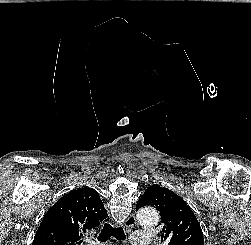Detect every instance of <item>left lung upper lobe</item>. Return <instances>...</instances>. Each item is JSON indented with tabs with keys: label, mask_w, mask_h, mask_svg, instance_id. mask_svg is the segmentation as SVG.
I'll list each match as a JSON object with an SVG mask.
<instances>
[{
	"label": "left lung upper lobe",
	"mask_w": 251,
	"mask_h": 245,
	"mask_svg": "<svg viewBox=\"0 0 251 245\" xmlns=\"http://www.w3.org/2000/svg\"><path fill=\"white\" fill-rule=\"evenodd\" d=\"M151 205L160 211L161 231L165 245H204L200 224L186 202L173 191L150 186L137 202V208Z\"/></svg>",
	"instance_id": "5c2ea615"
}]
</instances>
